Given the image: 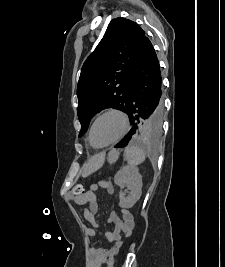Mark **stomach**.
Segmentation results:
<instances>
[{"instance_id": "stomach-1", "label": "stomach", "mask_w": 225, "mask_h": 267, "mask_svg": "<svg viewBox=\"0 0 225 267\" xmlns=\"http://www.w3.org/2000/svg\"><path fill=\"white\" fill-rule=\"evenodd\" d=\"M104 160H105L104 154H100V155L93 157L89 161L88 165L86 166V168L84 170L85 174H90V173L96 171L97 169H99L103 165ZM110 160H116V157L110 158Z\"/></svg>"}]
</instances>
